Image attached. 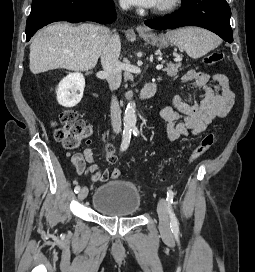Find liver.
Segmentation results:
<instances>
[{"instance_id":"1","label":"liver","mask_w":255,"mask_h":272,"mask_svg":"<svg viewBox=\"0 0 255 272\" xmlns=\"http://www.w3.org/2000/svg\"><path fill=\"white\" fill-rule=\"evenodd\" d=\"M110 36L107 27L92 23L48 25L30 45V71L35 75L58 68L88 71L97 64Z\"/></svg>"}]
</instances>
